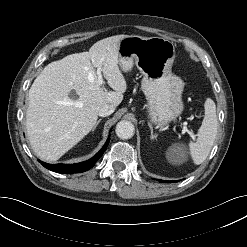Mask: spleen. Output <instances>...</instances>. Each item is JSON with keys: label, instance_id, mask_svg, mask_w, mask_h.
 <instances>
[{"label": "spleen", "instance_id": "obj_1", "mask_svg": "<svg viewBox=\"0 0 247 247\" xmlns=\"http://www.w3.org/2000/svg\"><path fill=\"white\" fill-rule=\"evenodd\" d=\"M217 129L216 105L212 99L207 98L204 103V119L197 134L198 138L196 142L189 143L190 155L194 164L199 165L206 160L214 144ZM172 151L181 154L179 147L172 148Z\"/></svg>", "mask_w": 247, "mask_h": 247}]
</instances>
